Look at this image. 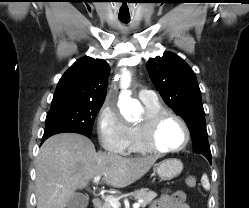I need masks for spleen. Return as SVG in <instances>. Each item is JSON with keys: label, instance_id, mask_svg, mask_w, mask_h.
I'll return each instance as SVG.
<instances>
[{"label": "spleen", "instance_id": "obj_1", "mask_svg": "<svg viewBox=\"0 0 249 208\" xmlns=\"http://www.w3.org/2000/svg\"><path fill=\"white\" fill-rule=\"evenodd\" d=\"M201 183H202V186L205 190H209L210 189V183H209V180H208V177L206 174H203L202 178H201Z\"/></svg>", "mask_w": 249, "mask_h": 208}]
</instances>
